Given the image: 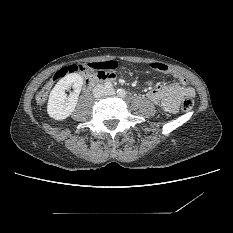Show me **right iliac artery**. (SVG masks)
<instances>
[{"label":"right iliac artery","instance_id":"82829eb1","mask_svg":"<svg viewBox=\"0 0 233 233\" xmlns=\"http://www.w3.org/2000/svg\"><path fill=\"white\" fill-rule=\"evenodd\" d=\"M112 86L113 85L110 82L105 83V89H110V88H112Z\"/></svg>","mask_w":233,"mask_h":233}]
</instances>
